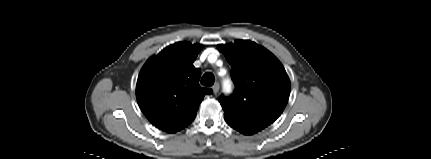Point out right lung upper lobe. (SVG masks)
Segmentation results:
<instances>
[{
  "label": "right lung upper lobe",
  "mask_w": 431,
  "mask_h": 159,
  "mask_svg": "<svg viewBox=\"0 0 431 159\" xmlns=\"http://www.w3.org/2000/svg\"><path fill=\"white\" fill-rule=\"evenodd\" d=\"M202 45L177 42L152 56L142 67L136 85L141 111L157 128L175 133L195 118L205 94L201 71L193 66Z\"/></svg>",
  "instance_id": "right-lung-upper-lobe-1"
}]
</instances>
